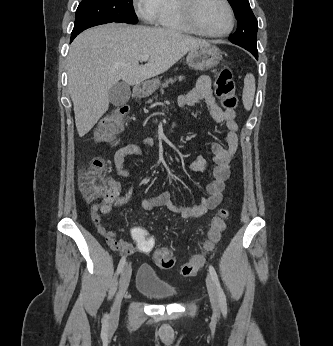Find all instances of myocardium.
Instances as JSON below:
<instances>
[{
  "label": "myocardium",
  "mask_w": 333,
  "mask_h": 346,
  "mask_svg": "<svg viewBox=\"0 0 333 346\" xmlns=\"http://www.w3.org/2000/svg\"><path fill=\"white\" fill-rule=\"evenodd\" d=\"M177 2L184 21L196 33L210 38H223L232 32L235 25V14L233 7L228 0H221V2L225 5L228 11L229 25L224 31L219 33L208 32L200 25L196 17V7L199 0H177Z\"/></svg>",
  "instance_id": "f54148a6"
}]
</instances>
